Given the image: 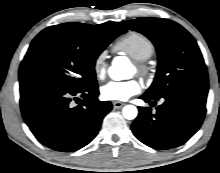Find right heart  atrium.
I'll list each match as a JSON object with an SVG mask.
<instances>
[{
	"instance_id": "right-heart-atrium-1",
	"label": "right heart atrium",
	"mask_w": 220,
	"mask_h": 173,
	"mask_svg": "<svg viewBox=\"0 0 220 173\" xmlns=\"http://www.w3.org/2000/svg\"><path fill=\"white\" fill-rule=\"evenodd\" d=\"M93 71L98 79H103L107 72L106 53L100 52L94 59Z\"/></svg>"
}]
</instances>
